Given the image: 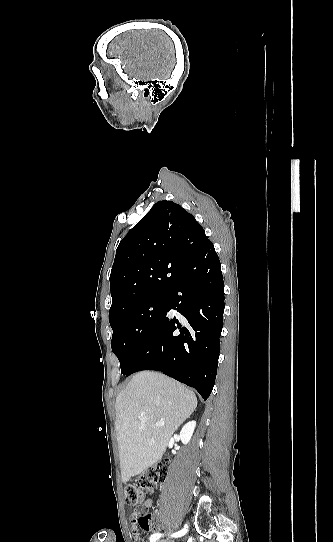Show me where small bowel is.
<instances>
[{"mask_svg":"<svg viewBox=\"0 0 333 542\" xmlns=\"http://www.w3.org/2000/svg\"><path fill=\"white\" fill-rule=\"evenodd\" d=\"M152 504H153V500H152L151 498H147V499H145L144 502H143V506H144L145 508H150V507L152 506ZM140 527L144 530V532L147 533V532H149V530H150V529H149V528H150V523H149V522H142V523L140 524ZM153 529H154V531H155L156 533H158V532L161 531V526H160V525H155V526H153Z\"/></svg>","mask_w":333,"mask_h":542,"instance_id":"c3829d8e","label":"small bowel"}]
</instances>
